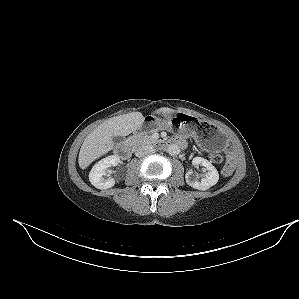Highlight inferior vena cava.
Wrapping results in <instances>:
<instances>
[{
  "instance_id": "1",
  "label": "inferior vena cava",
  "mask_w": 299,
  "mask_h": 299,
  "mask_svg": "<svg viewBox=\"0 0 299 299\" xmlns=\"http://www.w3.org/2000/svg\"><path fill=\"white\" fill-rule=\"evenodd\" d=\"M154 152V148L151 145H142L139 146L136 150H135V155L137 157H143L146 156L148 154H151Z\"/></svg>"
}]
</instances>
